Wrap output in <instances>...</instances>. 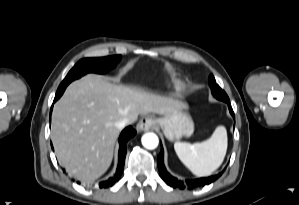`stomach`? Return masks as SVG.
<instances>
[{"mask_svg":"<svg viewBox=\"0 0 299 205\" xmlns=\"http://www.w3.org/2000/svg\"><path fill=\"white\" fill-rule=\"evenodd\" d=\"M186 104H182L179 111L171 115L157 119L164 135L170 141L180 139L182 136H190L194 131V123L190 115L185 111Z\"/></svg>","mask_w":299,"mask_h":205,"instance_id":"1","label":"stomach"}]
</instances>
